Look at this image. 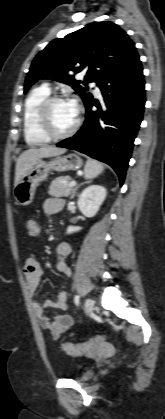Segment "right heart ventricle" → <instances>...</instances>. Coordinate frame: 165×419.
I'll return each instance as SVG.
<instances>
[{
  "label": "right heart ventricle",
  "instance_id": "e07e8e85",
  "mask_svg": "<svg viewBox=\"0 0 165 419\" xmlns=\"http://www.w3.org/2000/svg\"><path fill=\"white\" fill-rule=\"evenodd\" d=\"M47 86H39L30 91L24 102L23 108V133L29 145L37 146L50 141L40 130L37 122V110L40 103L50 96Z\"/></svg>",
  "mask_w": 165,
  "mask_h": 419
}]
</instances>
